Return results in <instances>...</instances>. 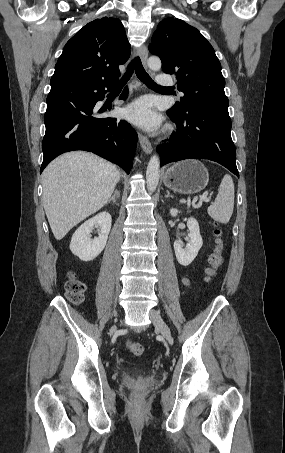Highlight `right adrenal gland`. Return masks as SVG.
I'll use <instances>...</instances> for the list:
<instances>
[{
    "label": "right adrenal gland",
    "mask_w": 285,
    "mask_h": 453,
    "mask_svg": "<svg viewBox=\"0 0 285 453\" xmlns=\"http://www.w3.org/2000/svg\"><path fill=\"white\" fill-rule=\"evenodd\" d=\"M119 198H120V193L118 190H115L112 197L108 200L107 204H109L110 202L116 203L117 199H119Z\"/></svg>",
    "instance_id": "1"
}]
</instances>
